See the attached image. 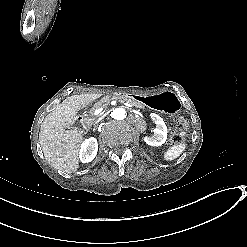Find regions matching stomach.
<instances>
[{"instance_id":"obj_1","label":"stomach","mask_w":247,"mask_h":247,"mask_svg":"<svg viewBox=\"0 0 247 247\" xmlns=\"http://www.w3.org/2000/svg\"><path fill=\"white\" fill-rule=\"evenodd\" d=\"M138 102L152 109L168 114H175L180 111V100L176 93L171 90H163L159 93L136 96Z\"/></svg>"}]
</instances>
